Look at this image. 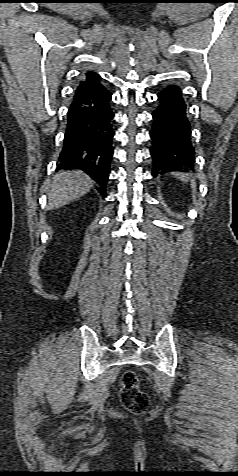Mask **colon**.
<instances>
[{"mask_svg": "<svg viewBox=\"0 0 238 476\" xmlns=\"http://www.w3.org/2000/svg\"><path fill=\"white\" fill-rule=\"evenodd\" d=\"M120 400L122 405L133 414H141L149 407V397L140 389L138 375L133 370H127L122 374Z\"/></svg>", "mask_w": 238, "mask_h": 476, "instance_id": "colon-1", "label": "colon"}]
</instances>
